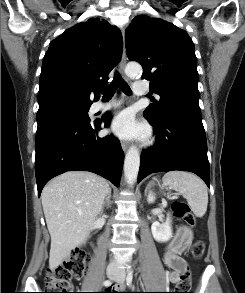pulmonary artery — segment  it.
I'll return each mask as SVG.
<instances>
[{
    "instance_id": "1",
    "label": "pulmonary artery",
    "mask_w": 245,
    "mask_h": 293,
    "mask_svg": "<svg viewBox=\"0 0 245 293\" xmlns=\"http://www.w3.org/2000/svg\"><path fill=\"white\" fill-rule=\"evenodd\" d=\"M134 92L137 95H146L148 93L145 85L143 83H136L134 84ZM120 103L118 101H112V102H108V103H101L98 102L96 104V110H101V111H106L109 109H112L113 107L118 106Z\"/></svg>"
}]
</instances>
